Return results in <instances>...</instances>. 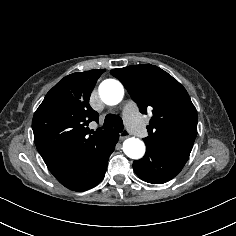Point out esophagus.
Returning <instances> with one entry per match:
<instances>
[{"label": "esophagus", "instance_id": "1", "mask_svg": "<svg viewBox=\"0 0 236 236\" xmlns=\"http://www.w3.org/2000/svg\"><path fill=\"white\" fill-rule=\"evenodd\" d=\"M130 133L127 130H123L122 132L119 133V137L121 140L129 137Z\"/></svg>", "mask_w": 236, "mask_h": 236}]
</instances>
